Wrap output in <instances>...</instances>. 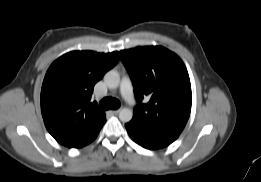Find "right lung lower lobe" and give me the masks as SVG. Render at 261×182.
I'll use <instances>...</instances> for the list:
<instances>
[{
    "instance_id": "98d812e1",
    "label": "right lung lower lobe",
    "mask_w": 261,
    "mask_h": 182,
    "mask_svg": "<svg viewBox=\"0 0 261 182\" xmlns=\"http://www.w3.org/2000/svg\"><path fill=\"white\" fill-rule=\"evenodd\" d=\"M99 131H100V130H99ZM99 131L96 132V134L93 136V138L90 140V142H92V141L97 137ZM90 142H89V143H90Z\"/></svg>"
}]
</instances>
